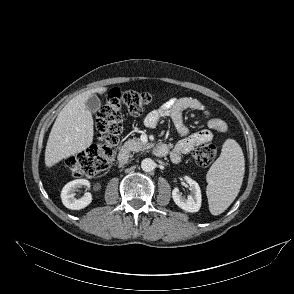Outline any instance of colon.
<instances>
[{"mask_svg": "<svg viewBox=\"0 0 294 294\" xmlns=\"http://www.w3.org/2000/svg\"><path fill=\"white\" fill-rule=\"evenodd\" d=\"M153 101L147 92L112 89L105 103L96 115V126L100 142L86 151L67 158L66 165L77 178L92 177L108 170L114 160L115 146L122 132V110L132 115H140ZM216 156V147L209 141L197 143L192 151L194 161L202 167L208 166Z\"/></svg>", "mask_w": 294, "mask_h": 294, "instance_id": "colon-1", "label": "colon"}]
</instances>
